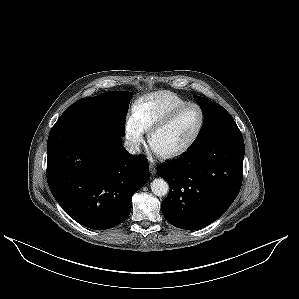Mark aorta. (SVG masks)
Returning a JSON list of instances; mask_svg holds the SVG:
<instances>
[{
  "mask_svg": "<svg viewBox=\"0 0 299 299\" xmlns=\"http://www.w3.org/2000/svg\"><path fill=\"white\" fill-rule=\"evenodd\" d=\"M151 191L158 197L165 196L169 191L168 183L161 178L154 179L151 182Z\"/></svg>",
  "mask_w": 299,
  "mask_h": 299,
  "instance_id": "obj_1",
  "label": "aorta"
}]
</instances>
